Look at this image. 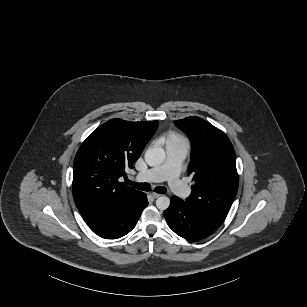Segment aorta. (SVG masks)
Returning a JSON list of instances; mask_svg holds the SVG:
<instances>
[{
  "mask_svg": "<svg viewBox=\"0 0 307 307\" xmlns=\"http://www.w3.org/2000/svg\"><path fill=\"white\" fill-rule=\"evenodd\" d=\"M145 161L151 166L161 165L166 158L165 150L161 147H150L145 153ZM170 205V199L167 196H160L156 200V206L159 210H166Z\"/></svg>",
  "mask_w": 307,
  "mask_h": 307,
  "instance_id": "aorta-1",
  "label": "aorta"
}]
</instances>
